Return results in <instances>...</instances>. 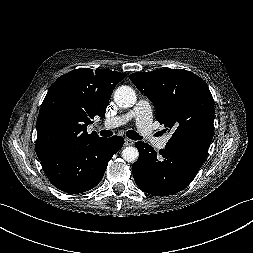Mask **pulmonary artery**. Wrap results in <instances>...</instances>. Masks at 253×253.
<instances>
[{
	"label": "pulmonary artery",
	"instance_id": "e3ab8cb5",
	"mask_svg": "<svg viewBox=\"0 0 253 253\" xmlns=\"http://www.w3.org/2000/svg\"><path fill=\"white\" fill-rule=\"evenodd\" d=\"M134 119L140 133L149 139L158 149H164L167 146L169 136L158 137L153 131L152 109L150 103L146 100H140L135 107L124 115L106 119L103 126L106 128H115L124 125Z\"/></svg>",
	"mask_w": 253,
	"mask_h": 253
}]
</instances>
